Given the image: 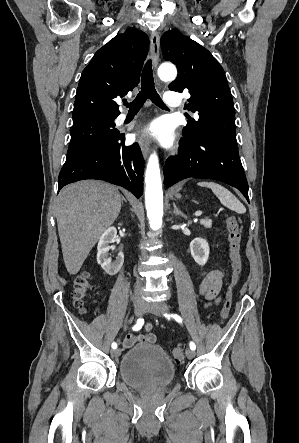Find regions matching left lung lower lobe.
<instances>
[{"label": "left lung lower lobe", "instance_id": "left-lung-lower-lobe-1", "mask_svg": "<svg viewBox=\"0 0 299 443\" xmlns=\"http://www.w3.org/2000/svg\"><path fill=\"white\" fill-rule=\"evenodd\" d=\"M177 156L167 159L164 166V184L201 177L222 181L236 187L249 202L248 183L239 158L236 142L218 135H204L180 141Z\"/></svg>", "mask_w": 299, "mask_h": 443}]
</instances>
